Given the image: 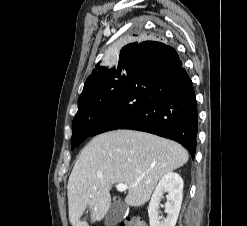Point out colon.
Listing matches in <instances>:
<instances>
[{"label":"colon","instance_id":"colon-1","mask_svg":"<svg viewBox=\"0 0 247 226\" xmlns=\"http://www.w3.org/2000/svg\"><path fill=\"white\" fill-rule=\"evenodd\" d=\"M119 226H146V224L139 217H128Z\"/></svg>","mask_w":247,"mask_h":226}]
</instances>
